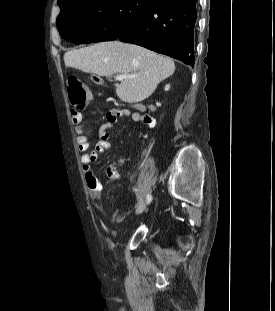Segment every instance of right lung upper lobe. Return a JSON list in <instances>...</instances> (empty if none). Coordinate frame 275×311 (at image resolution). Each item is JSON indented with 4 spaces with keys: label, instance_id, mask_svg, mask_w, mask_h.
I'll return each mask as SVG.
<instances>
[{
    "label": "right lung upper lobe",
    "instance_id": "1",
    "mask_svg": "<svg viewBox=\"0 0 275 311\" xmlns=\"http://www.w3.org/2000/svg\"><path fill=\"white\" fill-rule=\"evenodd\" d=\"M67 1H71V0H58V4L60 6V5H62L63 3L67 2Z\"/></svg>",
    "mask_w": 275,
    "mask_h": 311
}]
</instances>
